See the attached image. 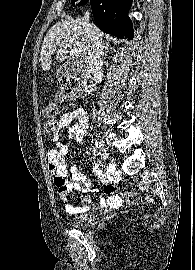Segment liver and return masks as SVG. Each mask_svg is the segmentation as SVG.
Wrapping results in <instances>:
<instances>
[{"mask_svg": "<svg viewBox=\"0 0 195 270\" xmlns=\"http://www.w3.org/2000/svg\"><path fill=\"white\" fill-rule=\"evenodd\" d=\"M94 31L102 40L103 33L97 27ZM67 48L77 49L81 57H86L89 49V36L84 19H68L58 21L48 31L40 52L41 67L44 71L51 68V55L56 51V60L64 61L67 58Z\"/></svg>", "mask_w": 195, "mask_h": 270, "instance_id": "6515ba94", "label": "liver"}]
</instances>
